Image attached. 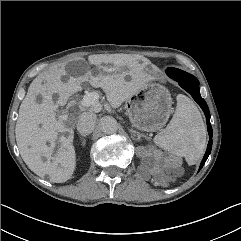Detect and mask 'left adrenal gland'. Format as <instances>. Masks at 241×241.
Here are the masks:
<instances>
[{
  "instance_id": "a2214340",
  "label": "left adrenal gland",
  "mask_w": 241,
  "mask_h": 241,
  "mask_svg": "<svg viewBox=\"0 0 241 241\" xmlns=\"http://www.w3.org/2000/svg\"><path fill=\"white\" fill-rule=\"evenodd\" d=\"M130 132L133 134V135H137V140H140L142 135L139 133V132H136L135 130L133 129H130Z\"/></svg>"
}]
</instances>
